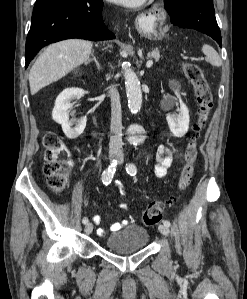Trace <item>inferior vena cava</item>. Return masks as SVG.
Masks as SVG:
<instances>
[{
  "instance_id": "inferior-vena-cava-1",
  "label": "inferior vena cava",
  "mask_w": 247,
  "mask_h": 299,
  "mask_svg": "<svg viewBox=\"0 0 247 299\" xmlns=\"http://www.w3.org/2000/svg\"><path fill=\"white\" fill-rule=\"evenodd\" d=\"M111 99V126L109 151L112 154L122 153V113L119 93L116 88L110 87Z\"/></svg>"
}]
</instances>
